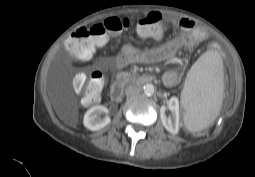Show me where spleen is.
<instances>
[{
	"label": "spleen",
	"instance_id": "obj_1",
	"mask_svg": "<svg viewBox=\"0 0 255 177\" xmlns=\"http://www.w3.org/2000/svg\"><path fill=\"white\" fill-rule=\"evenodd\" d=\"M223 61L217 51H207L190 68L181 93L184 123L201 131L214 122L223 99Z\"/></svg>",
	"mask_w": 255,
	"mask_h": 177
}]
</instances>
